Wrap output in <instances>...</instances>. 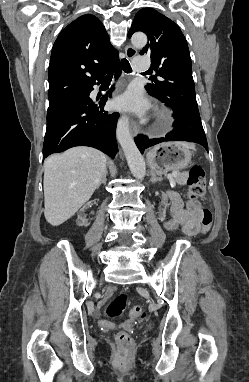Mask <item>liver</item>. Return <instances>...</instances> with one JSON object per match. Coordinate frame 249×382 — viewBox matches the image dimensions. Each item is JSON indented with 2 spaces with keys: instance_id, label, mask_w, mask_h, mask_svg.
<instances>
[{
  "instance_id": "1",
  "label": "liver",
  "mask_w": 249,
  "mask_h": 382,
  "mask_svg": "<svg viewBox=\"0 0 249 382\" xmlns=\"http://www.w3.org/2000/svg\"><path fill=\"white\" fill-rule=\"evenodd\" d=\"M106 161L104 153L85 146L73 147L45 160L44 216L48 223L61 225L91 198L107 172Z\"/></svg>"
}]
</instances>
